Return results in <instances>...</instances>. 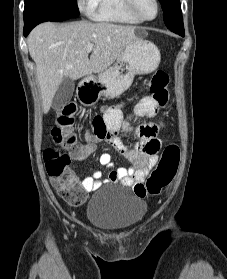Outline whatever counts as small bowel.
<instances>
[{
    "label": "small bowel",
    "instance_id": "1",
    "mask_svg": "<svg viewBox=\"0 0 227 279\" xmlns=\"http://www.w3.org/2000/svg\"><path fill=\"white\" fill-rule=\"evenodd\" d=\"M151 100L144 98L140 103V111L142 114L152 117L156 114L157 109H146L144 106ZM106 128L117 126V129L110 131L106 130L101 134H96L94 131L91 132L89 129L85 130L84 136L87 144L90 147L96 146L100 142H107L111 144L119 153H121L126 159H128L132 165L128 167H119L112 170L107 178H103V174L100 171H95L91 175L85 177L82 181V187L86 193H90L98 189L103 183L112 182H123L130 184L131 182L139 183L144 188V182L148 176L149 170L152 169L158 162V150L151 156L140 154L135 150L128 148L123 142L117 137L120 126L124 128L130 126L129 121H124L122 114L118 110L110 111L104 120ZM141 127L152 128L153 135L143 137V143H155L158 149L161 145L159 139V133L162 125L160 123H145ZM99 163L105 167H111L113 165L112 157L109 153H102L99 156ZM52 183H56L55 178H51ZM86 199V195L81 197L80 203H83Z\"/></svg>",
    "mask_w": 227,
    "mask_h": 279
}]
</instances>
